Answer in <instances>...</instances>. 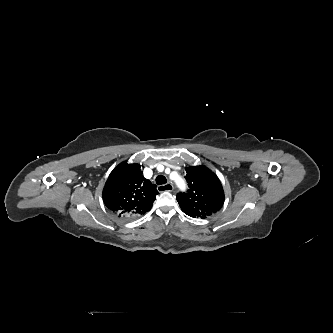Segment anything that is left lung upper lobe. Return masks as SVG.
<instances>
[{
    "instance_id": "5c2ea615",
    "label": "left lung upper lobe",
    "mask_w": 333,
    "mask_h": 333,
    "mask_svg": "<svg viewBox=\"0 0 333 333\" xmlns=\"http://www.w3.org/2000/svg\"><path fill=\"white\" fill-rule=\"evenodd\" d=\"M187 192L178 193L182 211L191 217L206 218L223 206L224 192L220 180L210 169L201 166L186 168Z\"/></svg>"
}]
</instances>
